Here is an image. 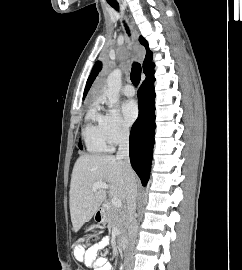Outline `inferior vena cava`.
Masks as SVG:
<instances>
[{
    "instance_id": "1",
    "label": "inferior vena cava",
    "mask_w": 242,
    "mask_h": 270,
    "mask_svg": "<svg viewBox=\"0 0 242 270\" xmlns=\"http://www.w3.org/2000/svg\"><path fill=\"white\" fill-rule=\"evenodd\" d=\"M117 159L121 160L125 168V176L127 181L126 194V217L128 220V247L126 249L125 265L126 270H131L134 264V247L138 235V223L135 219L137 185L133 178L134 171L129 159V130L124 129L119 138V147Z\"/></svg>"
}]
</instances>
